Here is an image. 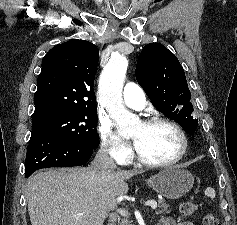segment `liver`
<instances>
[{"mask_svg":"<svg viewBox=\"0 0 237 225\" xmlns=\"http://www.w3.org/2000/svg\"><path fill=\"white\" fill-rule=\"evenodd\" d=\"M142 172L105 175L91 166L40 171L27 185L31 225H103L116 197L128 192L124 180Z\"/></svg>","mask_w":237,"mask_h":225,"instance_id":"1","label":"liver"}]
</instances>
